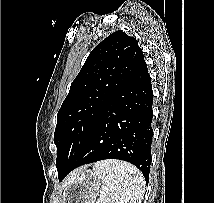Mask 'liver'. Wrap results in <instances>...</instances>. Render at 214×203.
Listing matches in <instances>:
<instances>
[{"instance_id": "6515ba94", "label": "liver", "mask_w": 214, "mask_h": 203, "mask_svg": "<svg viewBox=\"0 0 214 203\" xmlns=\"http://www.w3.org/2000/svg\"><path fill=\"white\" fill-rule=\"evenodd\" d=\"M80 173V171H74L72 172L66 179L65 182L63 184V186L65 187L67 184H69L70 182H72L74 180V178Z\"/></svg>"}]
</instances>
